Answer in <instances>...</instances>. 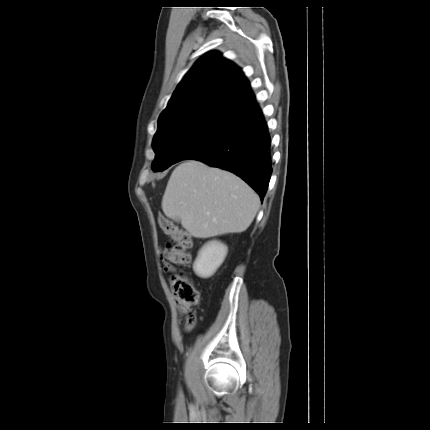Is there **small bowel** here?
I'll return each mask as SVG.
<instances>
[{
    "label": "small bowel",
    "instance_id": "c3829d8e",
    "mask_svg": "<svg viewBox=\"0 0 430 430\" xmlns=\"http://www.w3.org/2000/svg\"><path fill=\"white\" fill-rule=\"evenodd\" d=\"M165 270H167V271H173V270H174V268H173L172 266H170V265L166 264V265H165Z\"/></svg>",
    "mask_w": 430,
    "mask_h": 430
}]
</instances>
